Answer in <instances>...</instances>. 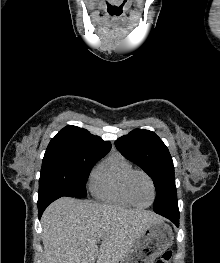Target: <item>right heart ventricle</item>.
<instances>
[{
	"instance_id": "obj_1",
	"label": "right heart ventricle",
	"mask_w": 220,
	"mask_h": 263,
	"mask_svg": "<svg viewBox=\"0 0 220 263\" xmlns=\"http://www.w3.org/2000/svg\"><path fill=\"white\" fill-rule=\"evenodd\" d=\"M132 171L134 167L125 157L118 153L109 155L91 174V194L104 203L122 207L133 206L125 191L127 177Z\"/></svg>"
}]
</instances>
